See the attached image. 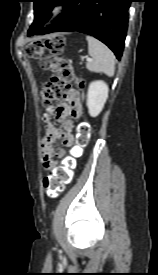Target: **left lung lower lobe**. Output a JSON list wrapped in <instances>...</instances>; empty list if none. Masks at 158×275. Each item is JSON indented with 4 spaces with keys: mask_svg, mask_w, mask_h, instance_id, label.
<instances>
[{
    "mask_svg": "<svg viewBox=\"0 0 158 275\" xmlns=\"http://www.w3.org/2000/svg\"><path fill=\"white\" fill-rule=\"evenodd\" d=\"M131 0H65V11L39 35L79 31L106 44L120 59L123 52Z\"/></svg>",
    "mask_w": 158,
    "mask_h": 275,
    "instance_id": "0a47b994",
    "label": "left lung lower lobe"
}]
</instances>
